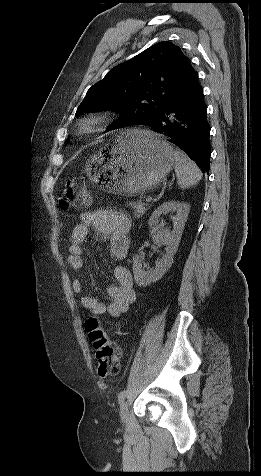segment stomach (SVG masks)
<instances>
[{
    "label": "stomach",
    "instance_id": "0dacf381",
    "mask_svg": "<svg viewBox=\"0 0 261 476\" xmlns=\"http://www.w3.org/2000/svg\"><path fill=\"white\" fill-rule=\"evenodd\" d=\"M174 164L168 142L148 130H128L92 155L85 173L109 192L134 195L158 186Z\"/></svg>",
    "mask_w": 261,
    "mask_h": 476
}]
</instances>
